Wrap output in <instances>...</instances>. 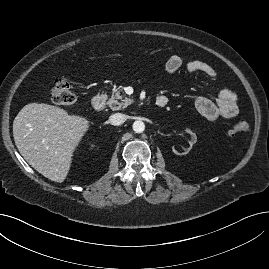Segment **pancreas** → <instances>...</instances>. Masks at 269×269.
Returning <instances> with one entry per match:
<instances>
[{
	"instance_id": "cf45deb5",
	"label": "pancreas",
	"mask_w": 269,
	"mask_h": 269,
	"mask_svg": "<svg viewBox=\"0 0 269 269\" xmlns=\"http://www.w3.org/2000/svg\"><path fill=\"white\" fill-rule=\"evenodd\" d=\"M133 102V99L128 98L125 95H121L120 88H114L112 90V95L107 101V105L112 110H120L129 106Z\"/></svg>"
}]
</instances>
